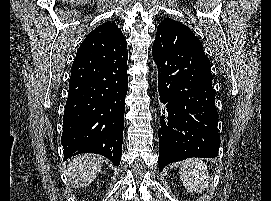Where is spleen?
Masks as SVG:
<instances>
[{
	"label": "spleen",
	"instance_id": "obj_1",
	"mask_svg": "<svg viewBox=\"0 0 271 201\" xmlns=\"http://www.w3.org/2000/svg\"><path fill=\"white\" fill-rule=\"evenodd\" d=\"M180 179L187 192L202 194L209 184L207 165L199 158H189L180 163Z\"/></svg>",
	"mask_w": 271,
	"mask_h": 201
}]
</instances>
